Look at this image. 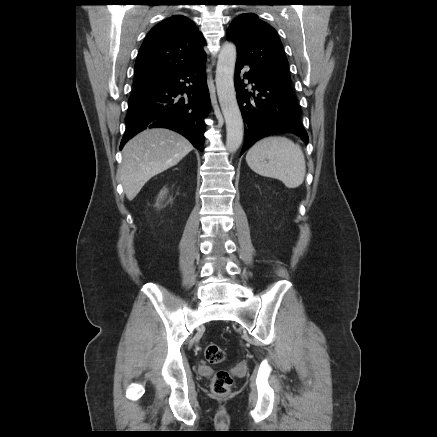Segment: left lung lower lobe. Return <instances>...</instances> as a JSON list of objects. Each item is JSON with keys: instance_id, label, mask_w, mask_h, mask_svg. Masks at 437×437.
<instances>
[{"instance_id": "0a47b994", "label": "left lung lower lobe", "mask_w": 437, "mask_h": 437, "mask_svg": "<svg viewBox=\"0 0 437 437\" xmlns=\"http://www.w3.org/2000/svg\"><path fill=\"white\" fill-rule=\"evenodd\" d=\"M245 65L249 64L237 58L234 84L246 133L241 154L257 140L275 133H294L307 144L308 135L301 123L299 105L292 91L269 81L252 67L242 74ZM244 79L254 83L253 92L245 89Z\"/></svg>"}]
</instances>
